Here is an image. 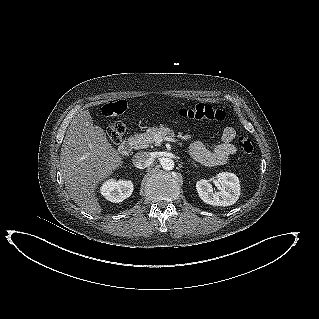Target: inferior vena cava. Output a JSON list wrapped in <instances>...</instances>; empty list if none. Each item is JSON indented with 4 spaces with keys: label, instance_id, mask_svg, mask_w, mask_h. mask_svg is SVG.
I'll return each instance as SVG.
<instances>
[{
    "label": "inferior vena cava",
    "instance_id": "602c4592",
    "mask_svg": "<svg viewBox=\"0 0 319 319\" xmlns=\"http://www.w3.org/2000/svg\"><path fill=\"white\" fill-rule=\"evenodd\" d=\"M133 164L136 168L143 169L151 165L154 161L149 152H138L133 156Z\"/></svg>",
    "mask_w": 319,
    "mask_h": 319
}]
</instances>
